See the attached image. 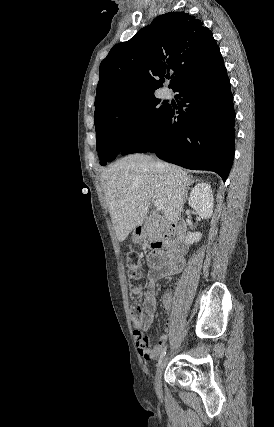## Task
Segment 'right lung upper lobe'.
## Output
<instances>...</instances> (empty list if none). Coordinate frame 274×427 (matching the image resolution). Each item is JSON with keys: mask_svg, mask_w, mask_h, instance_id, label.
Segmentation results:
<instances>
[{"mask_svg": "<svg viewBox=\"0 0 274 427\" xmlns=\"http://www.w3.org/2000/svg\"><path fill=\"white\" fill-rule=\"evenodd\" d=\"M185 12L156 17L126 42L116 44L101 62L95 113L124 99L154 94L171 73L175 89L198 73L223 65L212 32Z\"/></svg>", "mask_w": 274, "mask_h": 427, "instance_id": "right-lung-upper-lobe-1", "label": "right lung upper lobe"}]
</instances>
